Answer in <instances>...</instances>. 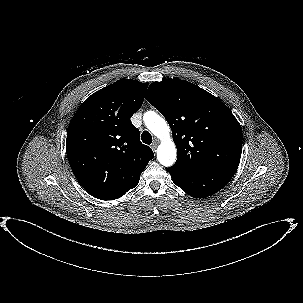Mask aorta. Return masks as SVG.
<instances>
[{
  "label": "aorta",
  "mask_w": 303,
  "mask_h": 303,
  "mask_svg": "<svg viewBox=\"0 0 303 303\" xmlns=\"http://www.w3.org/2000/svg\"><path fill=\"white\" fill-rule=\"evenodd\" d=\"M146 127L161 140L157 149V159L165 167L172 166L176 161L177 151L173 140L170 137V128L167 122L153 111L144 114Z\"/></svg>",
  "instance_id": "762f6f07"
}]
</instances>
